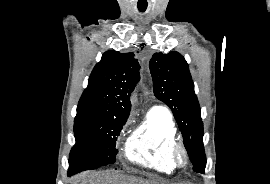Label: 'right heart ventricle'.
Listing matches in <instances>:
<instances>
[{"instance_id": "1", "label": "right heart ventricle", "mask_w": 270, "mask_h": 184, "mask_svg": "<svg viewBox=\"0 0 270 184\" xmlns=\"http://www.w3.org/2000/svg\"><path fill=\"white\" fill-rule=\"evenodd\" d=\"M177 142V127L171 113L163 107H153L129 138L125 155L133 163L170 174L175 169L171 153Z\"/></svg>"}]
</instances>
